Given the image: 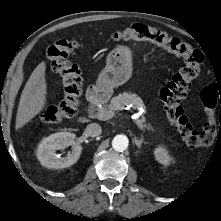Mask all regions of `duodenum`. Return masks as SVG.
Segmentation results:
<instances>
[{"instance_id": "duodenum-1", "label": "duodenum", "mask_w": 221, "mask_h": 221, "mask_svg": "<svg viewBox=\"0 0 221 221\" xmlns=\"http://www.w3.org/2000/svg\"><path fill=\"white\" fill-rule=\"evenodd\" d=\"M107 97V90L100 86L93 87L87 92V100L91 105H97L103 102Z\"/></svg>"}]
</instances>
